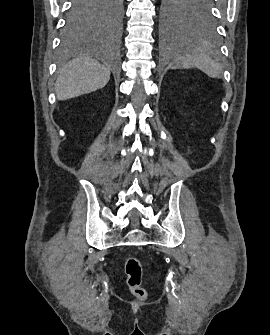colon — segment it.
Masks as SVG:
<instances>
[{"label": "colon", "instance_id": "5ec220e1", "mask_svg": "<svg viewBox=\"0 0 270 335\" xmlns=\"http://www.w3.org/2000/svg\"><path fill=\"white\" fill-rule=\"evenodd\" d=\"M126 284L131 293L137 298H144L146 290L143 286L142 264L139 258L129 256L124 261Z\"/></svg>", "mask_w": 270, "mask_h": 335}]
</instances>
